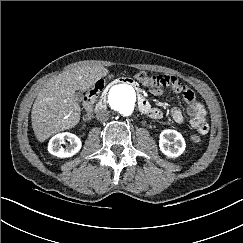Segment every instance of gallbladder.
I'll return each instance as SVG.
<instances>
[{
    "mask_svg": "<svg viewBox=\"0 0 243 243\" xmlns=\"http://www.w3.org/2000/svg\"><path fill=\"white\" fill-rule=\"evenodd\" d=\"M76 97H77L78 100H80V98H81V93H80V92L76 93Z\"/></svg>",
    "mask_w": 243,
    "mask_h": 243,
    "instance_id": "1",
    "label": "gallbladder"
}]
</instances>
